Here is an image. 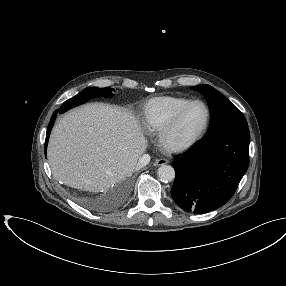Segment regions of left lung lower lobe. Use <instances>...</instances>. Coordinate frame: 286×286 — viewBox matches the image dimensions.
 Returning <instances> with one entry per match:
<instances>
[{"label":"left lung lower lobe","instance_id":"left-lung-lower-lobe-1","mask_svg":"<svg viewBox=\"0 0 286 286\" xmlns=\"http://www.w3.org/2000/svg\"><path fill=\"white\" fill-rule=\"evenodd\" d=\"M248 126L207 132L197 145L174 160L173 200L184 210L207 213L227 203L249 165Z\"/></svg>","mask_w":286,"mask_h":286}]
</instances>
